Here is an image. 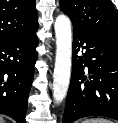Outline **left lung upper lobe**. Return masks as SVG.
Wrapping results in <instances>:
<instances>
[{"label":"left lung upper lobe","mask_w":118,"mask_h":123,"mask_svg":"<svg viewBox=\"0 0 118 123\" xmlns=\"http://www.w3.org/2000/svg\"><path fill=\"white\" fill-rule=\"evenodd\" d=\"M74 30L118 42V12L111 0H60Z\"/></svg>","instance_id":"left-lung-upper-lobe-1"}]
</instances>
